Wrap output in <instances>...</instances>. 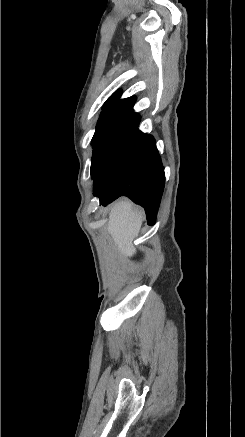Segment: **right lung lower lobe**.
Returning a JSON list of instances; mask_svg holds the SVG:
<instances>
[{"instance_id": "98d812e1", "label": "right lung lower lobe", "mask_w": 245, "mask_h": 437, "mask_svg": "<svg viewBox=\"0 0 245 437\" xmlns=\"http://www.w3.org/2000/svg\"><path fill=\"white\" fill-rule=\"evenodd\" d=\"M138 126L116 144L102 163L93 177V192L104 206L120 196L129 197L145 209L148 224L152 225L165 175L153 136L142 133Z\"/></svg>"}]
</instances>
